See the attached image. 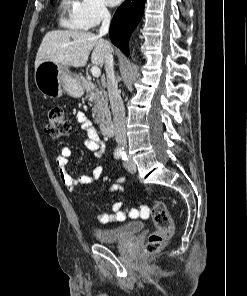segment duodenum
I'll list each match as a JSON object with an SVG mask.
<instances>
[{
  "mask_svg": "<svg viewBox=\"0 0 247 296\" xmlns=\"http://www.w3.org/2000/svg\"><path fill=\"white\" fill-rule=\"evenodd\" d=\"M88 87H91V84L88 83ZM101 132L106 136H112L114 133V122L111 118L103 119L100 122Z\"/></svg>",
  "mask_w": 247,
  "mask_h": 296,
  "instance_id": "obj_1",
  "label": "duodenum"
}]
</instances>
